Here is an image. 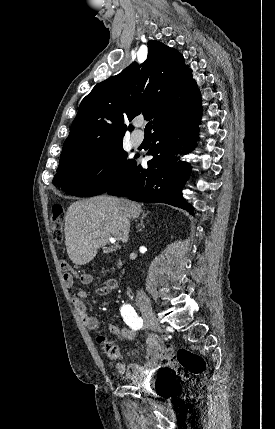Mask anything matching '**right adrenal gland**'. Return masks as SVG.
<instances>
[{
    "label": "right adrenal gland",
    "mask_w": 275,
    "mask_h": 429,
    "mask_svg": "<svg viewBox=\"0 0 275 429\" xmlns=\"http://www.w3.org/2000/svg\"><path fill=\"white\" fill-rule=\"evenodd\" d=\"M149 213V211L148 212H144V211H142V217H141V219H140V223L137 225V228H138V231H141V229H139L140 228V226L141 227H144V224H143V220H144V218L147 216V214Z\"/></svg>",
    "instance_id": "obj_1"
}]
</instances>
